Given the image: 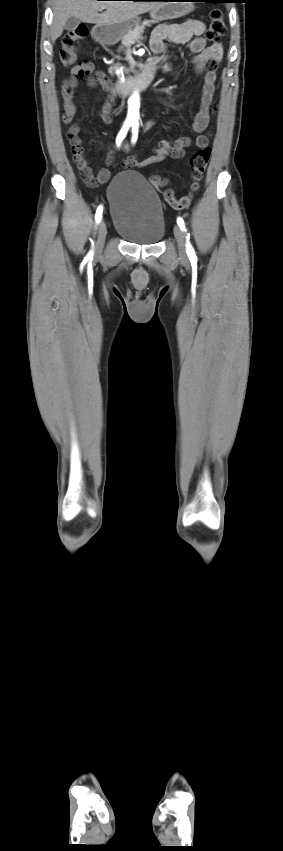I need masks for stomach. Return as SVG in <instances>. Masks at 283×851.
<instances>
[{"label": "stomach", "mask_w": 283, "mask_h": 851, "mask_svg": "<svg viewBox=\"0 0 283 851\" xmlns=\"http://www.w3.org/2000/svg\"><path fill=\"white\" fill-rule=\"evenodd\" d=\"M180 1V0H169ZM163 2L159 7L151 10L150 16L155 21L176 19L183 17L193 10L191 2ZM140 22L138 17L115 24H97L92 29L93 37L106 44L118 42L127 33L137 27Z\"/></svg>", "instance_id": "0dacf381"}]
</instances>
